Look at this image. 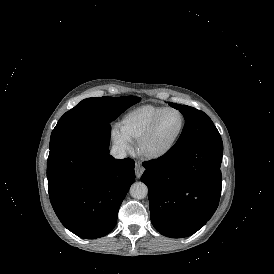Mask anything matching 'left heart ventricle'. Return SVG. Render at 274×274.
<instances>
[{
	"mask_svg": "<svg viewBox=\"0 0 274 274\" xmlns=\"http://www.w3.org/2000/svg\"><path fill=\"white\" fill-rule=\"evenodd\" d=\"M182 126V116L176 111L167 112L154 132L144 143V149L151 154L164 151L178 134Z\"/></svg>",
	"mask_w": 274,
	"mask_h": 274,
	"instance_id": "b2bd125f",
	"label": "left heart ventricle"
}]
</instances>
